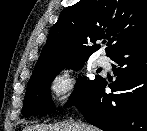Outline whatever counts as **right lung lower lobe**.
Wrapping results in <instances>:
<instances>
[{"label":"right lung lower lobe","mask_w":147,"mask_h":131,"mask_svg":"<svg viewBox=\"0 0 147 131\" xmlns=\"http://www.w3.org/2000/svg\"><path fill=\"white\" fill-rule=\"evenodd\" d=\"M110 57L115 82L100 77L75 106L103 131H147V35ZM106 87L115 94H106Z\"/></svg>","instance_id":"obj_1"}]
</instances>
